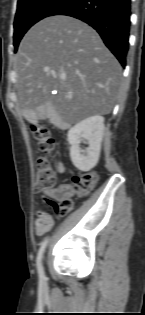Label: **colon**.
Wrapping results in <instances>:
<instances>
[{
	"label": "colon",
	"instance_id": "obj_1",
	"mask_svg": "<svg viewBox=\"0 0 145 315\" xmlns=\"http://www.w3.org/2000/svg\"><path fill=\"white\" fill-rule=\"evenodd\" d=\"M32 131L36 134L39 141V147L42 152L37 157V188L45 189L52 187L55 184V176L51 168L48 155L52 152L54 140L47 128L32 124ZM97 176L95 173H83L73 178V188L79 193L90 191L95 185ZM73 207V201L70 197L63 198L55 206L56 212L59 215L66 214Z\"/></svg>",
	"mask_w": 145,
	"mask_h": 315
}]
</instances>
